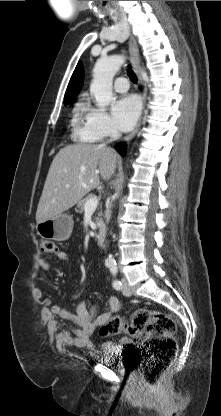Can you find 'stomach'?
<instances>
[{
    "label": "stomach",
    "mask_w": 221,
    "mask_h": 416,
    "mask_svg": "<svg viewBox=\"0 0 221 416\" xmlns=\"http://www.w3.org/2000/svg\"><path fill=\"white\" fill-rule=\"evenodd\" d=\"M36 230L43 239L65 241L73 230V219L70 215L60 214L53 219L37 223Z\"/></svg>",
    "instance_id": "1"
}]
</instances>
